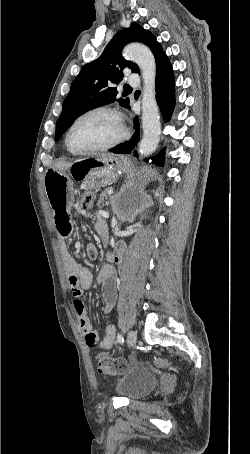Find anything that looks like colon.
Returning a JSON list of instances; mask_svg holds the SVG:
<instances>
[{"label":"colon","mask_w":250,"mask_h":454,"mask_svg":"<svg viewBox=\"0 0 250 454\" xmlns=\"http://www.w3.org/2000/svg\"><path fill=\"white\" fill-rule=\"evenodd\" d=\"M95 202V195L89 190H84L81 194L80 206L82 209L91 208ZM162 366L167 365L166 361L159 360ZM97 370L105 377L114 376L125 371L128 368V363L123 358H110L105 356H98L96 361Z\"/></svg>","instance_id":"1"}]
</instances>
